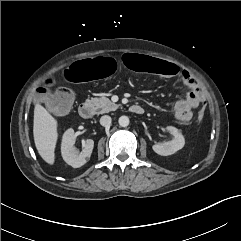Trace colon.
Listing matches in <instances>:
<instances>
[{
    "label": "colon",
    "mask_w": 241,
    "mask_h": 241,
    "mask_svg": "<svg viewBox=\"0 0 241 241\" xmlns=\"http://www.w3.org/2000/svg\"><path fill=\"white\" fill-rule=\"evenodd\" d=\"M122 63L135 71L155 75L156 77H175L181 74V69L175 64L162 62L158 57L152 55H125ZM119 63L115 56L102 53L95 57L81 59L64 66L60 75L64 81L71 85L79 86L88 81H99L116 75ZM49 108L55 111H64L70 107L73 101L72 93L67 89H60L52 95L45 97ZM205 109L202 108L198 114V120L204 118Z\"/></svg>",
    "instance_id": "obj_1"
}]
</instances>
